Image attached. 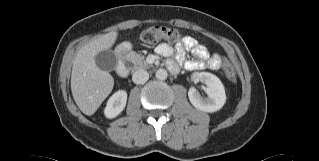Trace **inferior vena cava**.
<instances>
[{
	"label": "inferior vena cava",
	"mask_w": 319,
	"mask_h": 161,
	"mask_svg": "<svg viewBox=\"0 0 319 161\" xmlns=\"http://www.w3.org/2000/svg\"><path fill=\"white\" fill-rule=\"evenodd\" d=\"M148 79L149 74L144 69L136 70L132 76V80L135 84H144Z\"/></svg>",
	"instance_id": "obj_1"
}]
</instances>
